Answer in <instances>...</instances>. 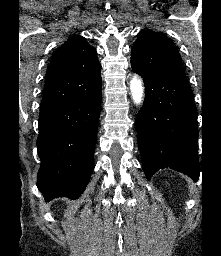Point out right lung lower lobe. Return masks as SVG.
<instances>
[{
	"label": "right lung lower lobe",
	"mask_w": 221,
	"mask_h": 256,
	"mask_svg": "<svg viewBox=\"0 0 221 256\" xmlns=\"http://www.w3.org/2000/svg\"><path fill=\"white\" fill-rule=\"evenodd\" d=\"M102 87L68 103L40 110L37 187L46 201L77 199L94 169L93 153Z\"/></svg>",
	"instance_id": "98d812e1"
}]
</instances>
